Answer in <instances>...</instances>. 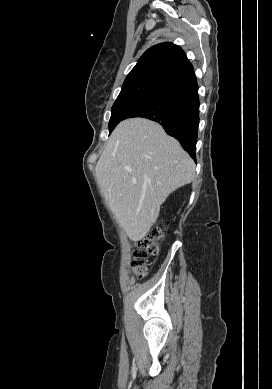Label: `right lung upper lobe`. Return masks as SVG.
I'll use <instances>...</instances> for the list:
<instances>
[{"label": "right lung upper lobe", "instance_id": "cb5924a9", "mask_svg": "<svg viewBox=\"0 0 272 389\" xmlns=\"http://www.w3.org/2000/svg\"><path fill=\"white\" fill-rule=\"evenodd\" d=\"M194 72L184 51L166 42L149 48L138 60L123 84L154 82L167 85Z\"/></svg>", "mask_w": 272, "mask_h": 389}]
</instances>
